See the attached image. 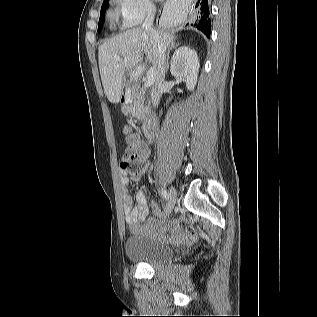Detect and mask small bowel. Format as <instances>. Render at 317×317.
Masks as SVG:
<instances>
[{"label": "small bowel", "instance_id": "c3829d8e", "mask_svg": "<svg viewBox=\"0 0 317 317\" xmlns=\"http://www.w3.org/2000/svg\"><path fill=\"white\" fill-rule=\"evenodd\" d=\"M139 145L145 168L147 166L146 161L149 155V150L144 143L139 142ZM129 184V176L124 170L121 171V186L125 220L127 228L132 233L145 232L150 234L155 239L170 242L189 241L195 238L196 229L193 226L184 228L176 219L165 222L160 226H157L155 220L153 219L148 220L145 224H141V222L146 219L149 213L147 199L144 192L139 190L136 194V202L134 204L133 198L129 193ZM152 210L155 216H160L162 214L160 208L156 205H152Z\"/></svg>", "mask_w": 317, "mask_h": 317}]
</instances>
